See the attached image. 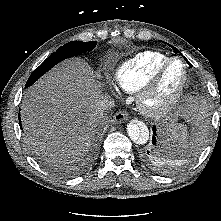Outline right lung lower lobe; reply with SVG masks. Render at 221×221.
<instances>
[{"mask_svg":"<svg viewBox=\"0 0 221 221\" xmlns=\"http://www.w3.org/2000/svg\"><path fill=\"white\" fill-rule=\"evenodd\" d=\"M19 123H20V128L22 129L20 118H19Z\"/></svg>","mask_w":221,"mask_h":221,"instance_id":"obj_1","label":"right lung lower lobe"}]
</instances>
